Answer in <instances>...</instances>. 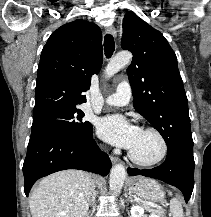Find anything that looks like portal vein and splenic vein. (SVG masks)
I'll return each instance as SVG.
<instances>
[{
  "label": "portal vein and splenic vein",
  "mask_w": 211,
  "mask_h": 217,
  "mask_svg": "<svg viewBox=\"0 0 211 217\" xmlns=\"http://www.w3.org/2000/svg\"><path fill=\"white\" fill-rule=\"evenodd\" d=\"M137 202H139V200H136ZM147 205L152 206V207H156L158 209H161V207L159 205L153 204V203H147Z\"/></svg>",
  "instance_id": "18ae733b"
}]
</instances>
